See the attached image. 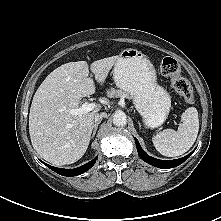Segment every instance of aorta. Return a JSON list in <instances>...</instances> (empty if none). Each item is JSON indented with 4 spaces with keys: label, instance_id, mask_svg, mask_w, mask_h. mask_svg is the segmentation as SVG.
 Segmentation results:
<instances>
[{
    "label": "aorta",
    "instance_id": "aorta-1",
    "mask_svg": "<svg viewBox=\"0 0 221 221\" xmlns=\"http://www.w3.org/2000/svg\"><path fill=\"white\" fill-rule=\"evenodd\" d=\"M113 123H114V125H116L118 127L125 126L127 123L126 114L122 111L115 112V114L113 116Z\"/></svg>",
    "mask_w": 221,
    "mask_h": 221
}]
</instances>
